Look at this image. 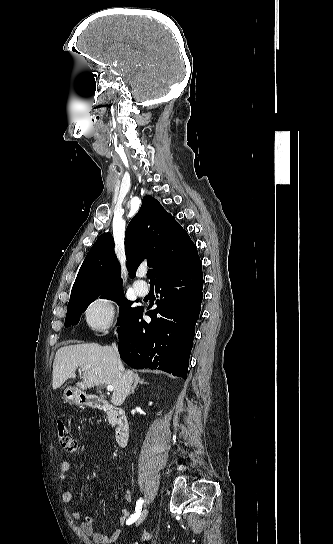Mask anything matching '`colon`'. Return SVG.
I'll return each instance as SVG.
<instances>
[{
	"label": "colon",
	"mask_w": 333,
	"mask_h": 544,
	"mask_svg": "<svg viewBox=\"0 0 333 544\" xmlns=\"http://www.w3.org/2000/svg\"><path fill=\"white\" fill-rule=\"evenodd\" d=\"M58 440L60 446L66 451L73 452L77 449V442L68 427L62 421L57 423Z\"/></svg>",
	"instance_id": "obj_1"
}]
</instances>
